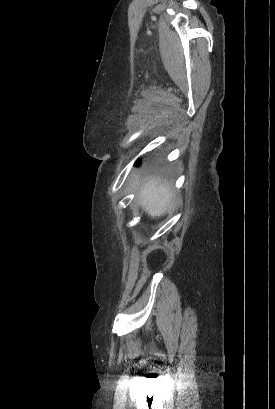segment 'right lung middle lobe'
Returning a JSON list of instances; mask_svg holds the SVG:
<instances>
[{"label": "right lung middle lobe", "mask_w": 275, "mask_h": 409, "mask_svg": "<svg viewBox=\"0 0 275 409\" xmlns=\"http://www.w3.org/2000/svg\"><path fill=\"white\" fill-rule=\"evenodd\" d=\"M138 164V163H137ZM142 172L146 178H173L177 171V166L173 164H143Z\"/></svg>", "instance_id": "obj_1"}]
</instances>
